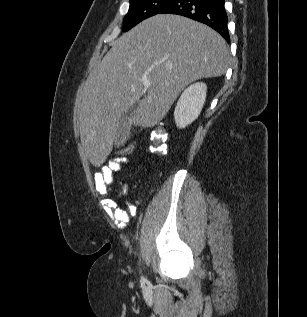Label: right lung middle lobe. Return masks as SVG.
I'll list each match as a JSON object with an SVG mask.
<instances>
[{
    "label": "right lung middle lobe",
    "instance_id": "right-lung-middle-lobe-1",
    "mask_svg": "<svg viewBox=\"0 0 307 317\" xmlns=\"http://www.w3.org/2000/svg\"><path fill=\"white\" fill-rule=\"evenodd\" d=\"M173 0H130L128 13L124 17L122 31H128L141 21L159 14Z\"/></svg>",
    "mask_w": 307,
    "mask_h": 317
}]
</instances>
